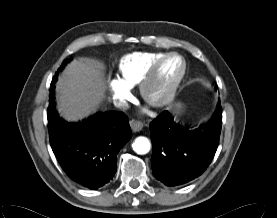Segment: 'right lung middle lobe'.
<instances>
[{
	"instance_id": "right-lung-middle-lobe-1",
	"label": "right lung middle lobe",
	"mask_w": 277,
	"mask_h": 218,
	"mask_svg": "<svg viewBox=\"0 0 277 218\" xmlns=\"http://www.w3.org/2000/svg\"><path fill=\"white\" fill-rule=\"evenodd\" d=\"M70 61H71V59L64 60L63 63H62V66L58 69V72L62 70L63 65L67 64ZM53 107H54V103L50 101V105H49V108H48V112H50V114L55 113V109Z\"/></svg>"
}]
</instances>
